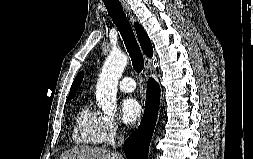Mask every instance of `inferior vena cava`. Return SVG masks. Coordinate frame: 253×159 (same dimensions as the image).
<instances>
[{
    "label": "inferior vena cava",
    "mask_w": 253,
    "mask_h": 159,
    "mask_svg": "<svg viewBox=\"0 0 253 159\" xmlns=\"http://www.w3.org/2000/svg\"><path fill=\"white\" fill-rule=\"evenodd\" d=\"M123 142H124V137L121 135L119 137L118 146H121L123 144Z\"/></svg>",
    "instance_id": "inferior-vena-cava-1"
}]
</instances>
